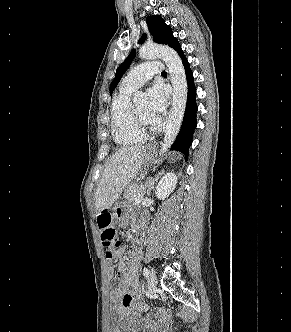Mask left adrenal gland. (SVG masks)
<instances>
[{"label": "left adrenal gland", "instance_id": "1", "mask_svg": "<svg viewBox=\"0 0 291 332\" xmlns=\"http://www.w3.org/2000/svg\"><path fill=\"white\" fill-rule=\"evenodd\" d=\"M164 174V171H161L160 173H158V175L155 176V178H149L148 181L146 182V186H147V195L150 196L151 194V190L154 188V184L155 182L158 180V178Z\"/></svg>", "mask_w": 291, "mask_h": 332}]
</instances>
